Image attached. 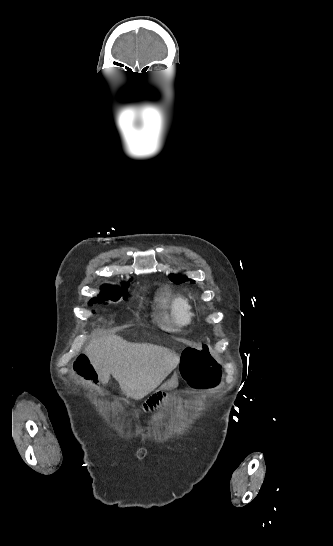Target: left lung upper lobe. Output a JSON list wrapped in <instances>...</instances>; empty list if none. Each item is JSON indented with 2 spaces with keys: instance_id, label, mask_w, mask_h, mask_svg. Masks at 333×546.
I'll list each match as a JSON object with an SVG mask.
<instances>
[{
  "instance_id": "1",
  "label": "left lung upper lobe",
  "mask_w": 333,
  "mask_h": 546,
  "mask_svg": "<svg viewBox=\"0 0 333 546\" xmlns=\"http://www.w3.org/2000/svg\"><path fill=\"white\" fill-rule=\"evenodd\" d=\"M170 279L172 282H174L175 284H180V283H183L185 281H188L190 279H188L186 276H181V275H170ZM194 282V281H192Z\"/></svg>"
}]
</instances>
